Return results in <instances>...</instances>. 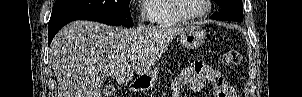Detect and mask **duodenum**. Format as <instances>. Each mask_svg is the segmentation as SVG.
<instances>
[{
	"label": "duodenum",
	"instance_id": "duodenum-1",
	"mask_svg": "<svg viewBox=\"0 0 302 97\" xmlns=\"http://www.w3.org/2000/svg\"><path fill=\"white\" fill-rule=\"evenodd\" d=\"M143 82L141 79H136L134 80L131 85H130V89L133 91V92H137L139 91L142 87H143Z\"/></svg>",
	"mask_w": 302,
	"mask_h": 97
}]
</instances>
